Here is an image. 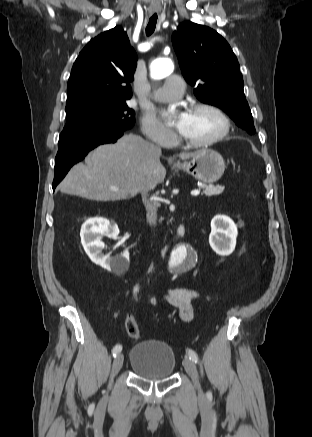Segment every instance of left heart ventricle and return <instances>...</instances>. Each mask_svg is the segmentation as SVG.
<instances>
[{
  "mask_svg": "<svg viewBox=\"0 0 312 437\" xmlns=\"http://www.w3.org/2000/svg\"><path fill=\"white\" fill-rule=\"evenodd\" d=\"M222 128L220 118L208 111L190 112L182 136L188 140L201 141L217 134Z\"/></svg>",
  "mask_w": 312,
  "mask_h": 437,
  "instance_id": "1",
  "label": "left heart ventricle"
}]
</instances>
